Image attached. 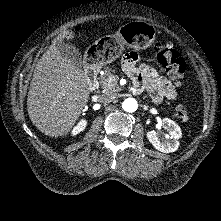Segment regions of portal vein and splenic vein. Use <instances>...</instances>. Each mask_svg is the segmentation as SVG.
<instances>
[{
  "label": "portal vein and splenic vein",
  "mask_w": 221,
  "mask_h": 221,
  "mask_svg": "<svg viewBox=\"0 0 221 221\" xmlns=\"http://www.w3.org/2000/svg\"><path fill=\"white\" fill-rule=\"evenodd\" d=\"M113 81V77H110L109 82Z\"/></svg>",
  "instance_id": "obj_1"
}]
</instances>
